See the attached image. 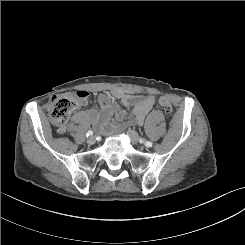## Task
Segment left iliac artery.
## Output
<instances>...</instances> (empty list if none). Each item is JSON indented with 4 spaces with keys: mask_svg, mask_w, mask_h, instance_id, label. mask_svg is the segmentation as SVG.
<instances>
[{
    "mask_svg": "<svg viewBox=\"0 0 245 245\" xmlns=\"http://www.w3.org/2000/svg\"><path fill=\"white\" fill-rule=\"evenodd\" d=\"M143 141H144L143 139H140V142H143ZM145 145L147 147H151L152 146V143L150 141H147V142H145Z\"/></svg>",
    "mask_w": 245,
    "mask_h": 245,
    "instance_id": "left-iliac-artery-1",
    "label": "left iliac artery"
}]
</instances>
